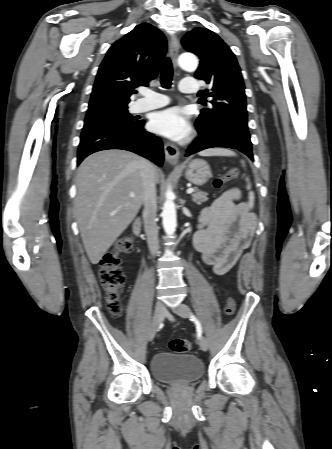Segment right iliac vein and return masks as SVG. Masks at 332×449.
I'll list each match as a JSON object with an SVG mask.
<instances>
[{"label":"right iliac vein","instance_id":"right-iliac-vein-1","mask_svg":"<svg viewBox=\"0 0 332 449\" xmlns=\"http://www.w3.org/2000/svg\"><path fill=\"white\" fill-rule=\"evenodd\" d=\"M165 314L166 308L164 304L162 302H157L155 305L153 320L147 333L148 341H152L155 337L156 329L158 325L163 321Z\"/></svg>","mask_w":332,"mask_h":449}]
</instances>
